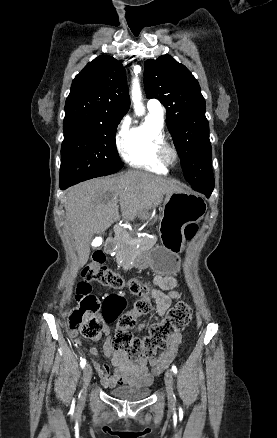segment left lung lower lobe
Instances as JSON below:
<instances>
[{"label": "left lung lower lobe", "mask_w": 277, "mask_h": 438, "mask_svg": "<svg viewBox=\"0 0 277 438\" xmlns=\"http://www.w3.org/2000/svg\"><path fill=\"white\" fill-rule=\"evenodd\" d=\"M195 191H198L200 193H203L204 195H206V197H209L212 193V191H208V190H204V189H193Z\"/></svg>", "instance_id": "obj_1"}]
</instances>
